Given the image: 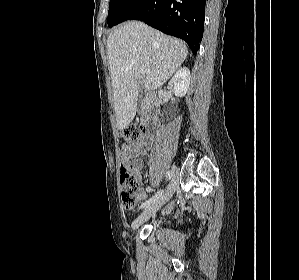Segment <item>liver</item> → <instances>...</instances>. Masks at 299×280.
Listing matches in <instances>:
<instances>
[{
  "label": "liver",
  "instance_id": "liver-1",
  "mask_svg": "<svg viewBox=\"0 0 299 280\" xmlns=\"http://www.w3.org/2000/svg\"><path fill=\"white\" fill-rule=\"evenodd\" d=\"M114 110L117 127L125 129L134 119L140 87H161L188 55L182 41L167 36L140 21H128L107 39ZM151 71L142 79L140 69Z\"/></svg>",
  "mask_w": 299,
  "mask_h": 280
}]
</instances>
